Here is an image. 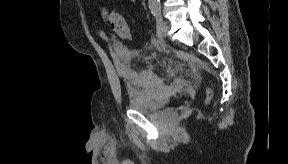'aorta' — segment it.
Returning <instances> with one entry per match:
<instances>
[{
	"label": "aorta",
	"mask_w": 288,
	"mask_h": 164,
	"mask_svg": "<svg viewBox=\"0 0 288 164\" xmlns=\"http://www.w3.org/2000/svg\"><path fill=\"white\" fill-rule=\"evenodd\" d=\"M149 8L150 10H153V8H160L158 0H149Z\"/></svg>",
	"instance_id": "obj_1"
}]
</instances>
